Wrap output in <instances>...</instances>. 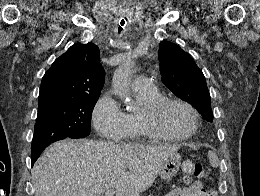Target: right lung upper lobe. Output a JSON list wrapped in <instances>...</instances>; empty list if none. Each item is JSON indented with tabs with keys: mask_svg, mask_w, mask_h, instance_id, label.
Returning <instances> with one entry per match:
<instances>
[{
	"mask_svg": "<svg viewBox=\"0 0 260 196\" xmlns=\"http://www.w3.org/2000/svg\"><path fill=\"white\" fill-rule=\"evenodd\" d=\"M104 70L93 43L74 44L42 78L39 106L83 95H100Z\"/></svg>",
	"mask_w": 260,
	"mask_h": 196,
	"instance_id": "obj_1",
	"label": "right lung upper lobe"
}]
</instances>
